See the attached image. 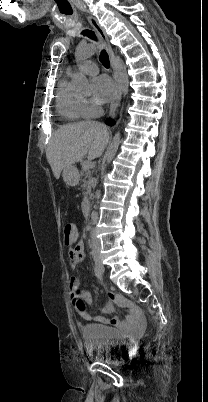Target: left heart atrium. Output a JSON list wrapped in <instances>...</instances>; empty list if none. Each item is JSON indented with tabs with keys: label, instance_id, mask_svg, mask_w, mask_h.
<instances>
[{
	"label": "left heart atrium",
	"instance_id": "left-heart-atrium-1",
	"mask_svg": "<svg viewBox=\"0 0 208 402\" xmlns=\"http://www.w3.org/2000/svg\"><path fill=\"white\" fill-rule=\"evenodd\" d=\"M94 88L99 93V99L111 101L116 95V86L107 75H98L94 79Z\"/></svg>",
	"mask_w": 208,
	"mask_h": 402
}]
</instances>
